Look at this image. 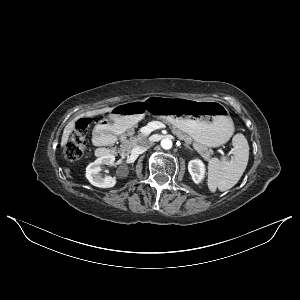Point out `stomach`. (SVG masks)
Masks as SVG:
<instances>
[{
  "mask_svg": "<svg viewBox=\"0 0 300 300\" xmlns=\"http://www.w3.org/2000/svg\"><path fill=\"white\" fill-rule=\"evenodd\" d=\"M146 114L164 119L195 141L208 147L225 144L234 125L226 107L214 100L152 96L114 106L100 122L105 131L121 134L136 125Z\"/></svg>",
  "mask_w": 300,
  "mask_h": 300,
  "instance_id": "1",
  "label": "stomach"
}]
</instances>
